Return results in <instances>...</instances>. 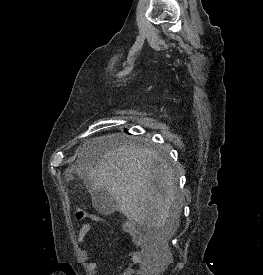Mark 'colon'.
Listing matches in <instances>:
<instances>
[{
	"label": "colon",
	"mask_w": 263,
	"mask_h": 275,
	"mask_svg": "<svg viewBox=\"0 0 263 275\" xmlns=\"http://www.w3.org/2000/svg\"><path fill=\"white\" fill-rule=\"evenodd\" d=\"M88 216L85 214V213H83V212H78L77 213V218L78 219H84V218H87ZM151 252L153 253V254H156L157 252H158V249L157 248H153V249H151ZM155 270V269H154ZM153 270V272H155Z\"/></svg>",
	"instance_id": "5ec220e1"
}]
</instances>
